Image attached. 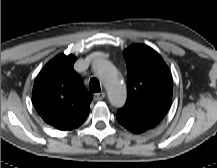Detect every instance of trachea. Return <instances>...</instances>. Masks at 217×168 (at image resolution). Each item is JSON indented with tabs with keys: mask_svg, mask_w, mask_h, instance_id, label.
I'll return each mask as SVG.
<instances>
[{
	"mask_svg": "<svg viewBox=\"0 0 217 168\" xmlns=\"http://www.w3.org/2000/svg\"><path fill=\"white\" fill-rule=\"evenodd\" d=\"M100 84L96 78H91L90 80V91L92 93L100 92Z\"/></svg>",
	"mask_w": 217,
	"mask_h": 168,
	"instance_id": "obj_1",
	"label": "trachea"
}]
</instances>
